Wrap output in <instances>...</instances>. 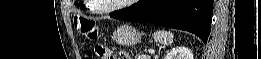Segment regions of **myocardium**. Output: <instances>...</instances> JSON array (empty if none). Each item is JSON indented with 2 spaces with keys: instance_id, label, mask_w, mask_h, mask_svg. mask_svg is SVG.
<instances>
[{
  "instance_id": "1",
  "label": "myocardium",
  "mask_w": 261,
  "mask_h": 59,
  "mask_svg": "<svg viewBox=\"0 0 261 59\" xmlns=\"http://www.w3.org/2000/svg\"><path fill=\"white\" fill-rule=\"evenodd\" d=\"M92 2H94V1H92ZM129 2H131V1H126L125 3H121V4H118V5L109 7V8H94V10L100 14H109V13H112V12H115L117 10L124 8L127 5V3H129Z\"/></svg>"
}]
</instances>
